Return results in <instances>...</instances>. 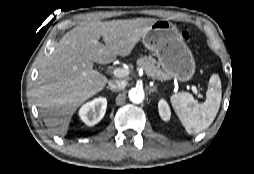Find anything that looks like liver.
<instances>
[{"label": "liver", "mask_w": 254, "mask_h": 174, "mask_svg": "<svg viewBox=\"0 0 254 174\" xmlns=\"http://www.w3.org/2000/svg\"><path fill=\"white\" fill-rule=\"evenodd\" d=\"M154 18L91 21L76 26L59 41L43 63L36 81V104L45 124L61 136L86 100L100 92L108 79L93 69L116 56H128L148 32ZM102 36L105 45L99 42Z\"/></svg>", "instance_id": "6515ba94"}]
</instances>
